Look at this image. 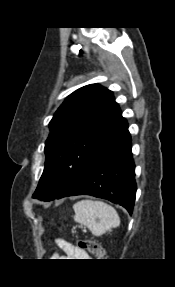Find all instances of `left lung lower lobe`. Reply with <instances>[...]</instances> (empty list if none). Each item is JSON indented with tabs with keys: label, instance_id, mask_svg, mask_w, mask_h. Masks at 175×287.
<instances>
[{
	"label": "left lung lower lobe",
	"instance_id": "0a47b994",
	"mask_svg": "<svg viewBox=\"0 0 175 287\" xmlns=\"http://www.w3.org/2000/svg\"><path fill=\"white\" fill-rule=\"evenodd\" d=\"M73 195H91L107 199L125 207L132 214L136 183L128 125L105 145L86 170L54 199Z\"/></svg>",
	"mask_w": 175,
	"mask_h": 287
}]
</instances>
